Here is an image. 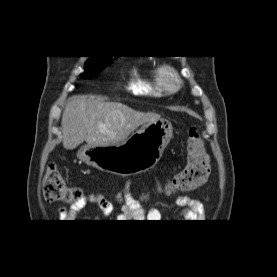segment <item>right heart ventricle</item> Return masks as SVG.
I'll return each mask as SVG.
<instances>
[{
    "instance_id": "1",
    "label": "right heart ventricle",
    "mask_w": 277,
    "mask_h": 277,
    "mask_svg": "<svg viewBox=\"0 0 277 277\" xmlns=\"http://www.w3.org/2000/svg\"><path fill=\"white\" fill-rule=\"evenodd\" d=\"M129 89L136 95L151 97H162L165 95V90L161 86L155 68H148L143 71L136 70L133 73Z\"/></svg>"
}]
</instances>
